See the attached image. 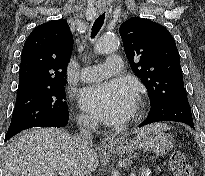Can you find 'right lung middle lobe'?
Returning <instances> with one entry per match:
<instances>
[{
	"label": "right lung middle lobe",
	"instance_id": "dd1d6c3e",
	"mask_svg": "<svg viewBox=\"0 0 205 176\" xmlns=\"http://www.w3.org/2000/svg\"><path fill=\"white\" fill-rule=\"evenodd\" d=\"M65 84L34 89L17 94L11 124L5 140L22 130L49 121H62L69 117L65 100Z\"/></svg>",
	"mask_w": 205,
	"mask_h": 176
}]
</instances>
